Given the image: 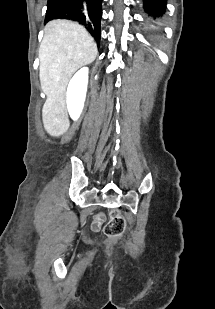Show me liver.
I'll return each mask as SVG.
<instances>
[{
  "label": "liver",
  "mask_w": 215,
  "mask_h": 309,
  "mask_svg": "<svg viewBox=\"0 0 215 309\" xmlns=\"http://www.w3.org/2000/svg\"><path fill=\"white\" fill-rule=\"evenodd\" d=\"M39 48V76L47 94L42 116L47 132L58 136L69 126L65 106L66 86L74 72L95 60L98 50L91 34L78 22L50 20Z\"/></svg>",
  "instance_id": "obj_1"
}]
</instances>
